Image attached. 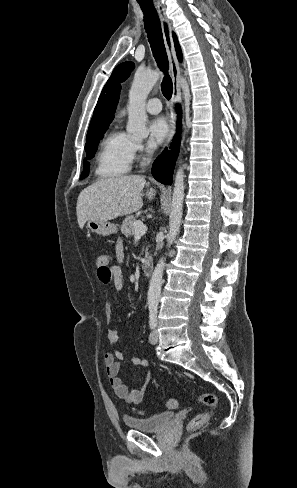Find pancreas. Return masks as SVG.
<instances>
[{"instance_id":"pancreas-1","label":"pancreas","mask_w":297,"mask_h":488,"mask_svg":"<svg viewBox=\"0 0 297 488\" xmlns=\"http://www.w3.org/2000/svg\"><path fill=\"white\" fill-rule=\"evenodd\" d=\"M137 222V220L133 217H126L121 225V232L126 236L130 237L134 234V223ZM148 253L146 252V255Z\"/></svg>"}]
</instances>
